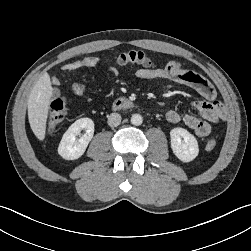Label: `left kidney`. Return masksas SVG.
Masks as SVG:
<instances>
[{
    "instance_id": "left-kidney-1",
    "label": "left kidney",
    "mask_w": 251,
    "mask_h": 251,
    "mask_svg": "<svg viewBox=\"0 0 251 251\" xmlns=\"http://www.w3.org/2000/svg\"><path fill=\"white\" fill-rule=\"evenodd\" d=\"M171 148L175 156L182 162L194 160L198 153V142L194 135L184 128H173L170 131Z\"/></svg>"
}]
</instances>
